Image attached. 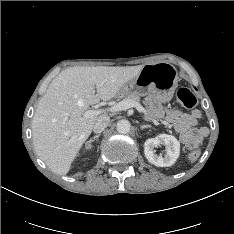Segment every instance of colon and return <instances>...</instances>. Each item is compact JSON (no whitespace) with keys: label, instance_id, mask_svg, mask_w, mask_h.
<instances>
[{"label":"colon","instance_id":"5ec220e1","mask_svg":"<svg viewBox=\"0 0 234 234\" xmlns=\"http://www.w3.org/2000/svg\"><path fill=\"white\" fill-rule=\"evenodd\" d=\"M177 102L185 108H193L196 105V97L187 88H180L176 94ZM189 159L196 160L200 156V149L191 147L189 150Z\"/></svg>","mask_w":234,"mask_h":234}]
</instances>
